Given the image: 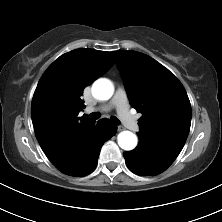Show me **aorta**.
I'll return each instance as SVG.
<instances>
[{"label":"aorta","mask_w":222,"mask_h":222,"mask_svg":"<svg viewBox=\"0 0 222 222\" xmlns=\"http://www.w3.org/2000/svg\"><path fill=\"white\" fill-rule=\"evenodd\" d=\"M114 88L108 79H98L92 85V94L98 100H108L112 97ZM118 144L124 150H132L137 145V137L130 131L119 133Z\"/></svg>","instance_id":"1"}]
</instances>
